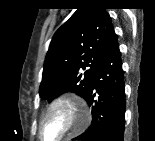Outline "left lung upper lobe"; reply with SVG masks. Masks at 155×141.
<instances>
[{"label":"left lung upper lobe","instance_id":"1","mask_svg":"<svg viewBox=\"0 0 155 141\" xmlns=\"http://www.w3.org/2000/svg\"><path fill=\"white\" fill-rule=\"evenodd\" d=\"M77 5V11L50 43L39 89L42 99L51 101L65 91L84 98L106 47L116 35L102 0H81Z\"/></svg>","mask_w":155,"mask_h":141}]
</instances>
